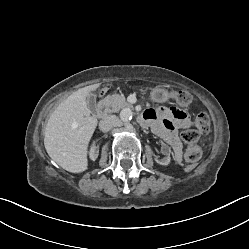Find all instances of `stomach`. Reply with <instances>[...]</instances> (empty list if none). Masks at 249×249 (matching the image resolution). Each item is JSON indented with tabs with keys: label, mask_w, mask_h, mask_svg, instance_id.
Masks as SVG:
<instances>
[{
	"label": "stomach",
	"mask_w": 249,
	"mask_h": 249,
	"mask_svg": "<svg viewBox=\"0 0 249 249\" xmlns=\"http://www.w3.org/2000/svg\"><path fill=\"white\" fill-rule=\"evenodd\" d=\"M149 98L153 102L164 103V102L168 101L169 94L164 88H162L160 86H156V87L151 89L150 94H149Z\"/></svg>",
	"instance_id": "stomach-1"
}]
</instances>
